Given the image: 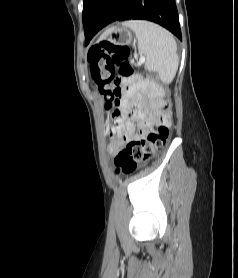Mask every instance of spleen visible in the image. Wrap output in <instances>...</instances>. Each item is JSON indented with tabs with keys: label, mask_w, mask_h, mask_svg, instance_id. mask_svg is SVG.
<instances>
[{
	"label": "spleen",
	"mask_w": 238,
	"mask_h": 278,
	"mask_svg": "<svg viewBox=\"0 0 238 278\" xmlns=\"http://www.w3.org/2000/svg\"><path fill=\"white\" fill-rule=\"evenodd\" d=\"M123 25L135 32L138 51L146 56V69L156 72L163 83L169 84L178 68L177 45L173 35L148 21L131 20Z\"/></svg>",
	"instance_id": "3e777b00"
}]
</instances>
